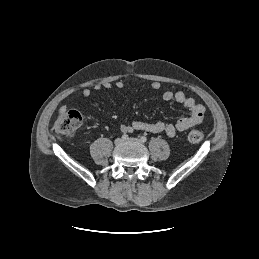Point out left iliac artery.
I'll use <instances>...</instances> for the list:
<instances>
[{"instance_id": "1", "label": "left iliac artery", "mask_w": 259, "mask_h": 259, "mask_svg": "<svg viewBox=\"0 0 259 259\" xmlns=\"http://www.w3.org/2000/svg\"><path fill=\"white\" fill-rule=\"evenodd\" d=\"M140 141L144 143V142L147 141V138H146L145 136H142V137L140 138Z\"/></svg>"}]
</instances>
